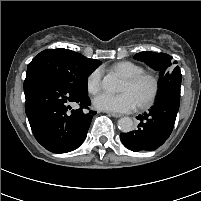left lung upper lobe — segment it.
<instances>
[{"instance_id":"left-lung-upper-lobe-1","label":"left lung upper lobe","mask_w":201,"mask_h":201,"mask_svg":"<svg viewBox=\"0 0 201 201\" xmlns=\"http://www.w3.org/2000/svg\"><path fill=\"white\" fill-rule=\"evenodd\" d=\"M134 58L144 61L147 65L160 72L158 95L167 91L171 87L180 88L182 76L181 71L179 66L176 65L177 62H173L170 55L145 51L137 53Z\"/></svg>"}]
</instances>
